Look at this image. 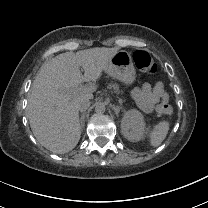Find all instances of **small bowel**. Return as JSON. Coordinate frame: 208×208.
Masks as SVG:
<instances>
[{
  "label": "small bowel",
  "instance_id": "1",
  "mask_svg": "<svg viewBox=\"0 0 208 208\" xmlns=\"http://www.w3.org/2000/svg\"><path fill=\"white\" fill-rule=\"evenodd\" d=\"M132 97L146 113L154 111L158 104L166 103L168 100V95L162 82H157L154 86L146 82L142 87L133 89Z\"/></svg>",
  "mask_w": 208,
  "mask_h": 208
}]
</instances>
